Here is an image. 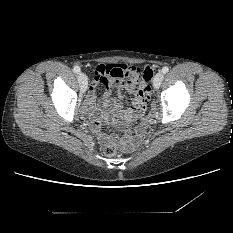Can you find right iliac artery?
I'll list each match as a JSON object with an SVG mask.
<instances>
[{
    "label": "right iliac artery",
    "mask_w": 233,
    "mask_h": 233,
    "mask_svg": "<svg viewBox=\"0 0 233 233\" xmlns=\"http://www.w3.org/2000/svg\"><path fill=\"white\" fill-rule=\"evenodd\" d=\"M73 70L76 74L80 73L81 71V69L78 66H74Z\"/></svg>",
    "instance_id": "right-iliac-artery-1"
}]
</instances>
